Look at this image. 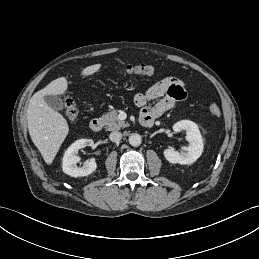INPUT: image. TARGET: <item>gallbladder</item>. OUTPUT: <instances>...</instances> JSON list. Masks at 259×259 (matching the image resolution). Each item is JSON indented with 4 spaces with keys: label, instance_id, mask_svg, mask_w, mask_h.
Masks as SVG:
<instances>
[{
    "label": "gallbladder",
    "instance_id": "gallbladder-1",
    "mask_svg": "<svg viewBox=\"0 0 259 259\" xmlns=\"http://www.w3.org/2000/svg\"><path fill=\"white\" fill-rule=\"evenodd\" d=\"M44 100L54 110L61 111L64 109V103L62 99L56 95H47L44 97Z\"/></svg>",
    "mask_w": 259,
    "mask_h": 259
}]
</instances>
